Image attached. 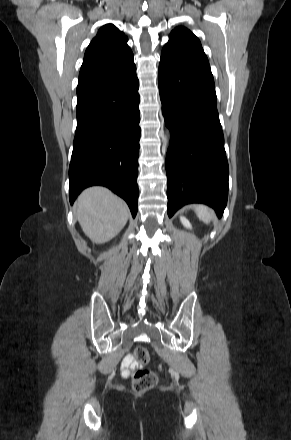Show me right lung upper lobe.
<instances>
[{"label":"right lung upper lobe","instance_id":"1","mask_svg":"<svg viewBox=\"0 0 291 440\" xmlns=\"http://www.w3.org/2000/svg\"><path fill=\"white\" fill-rule=\"evenodd\" d=\"M127 40L113 24L101 27L86 49L79 84L114 78L136 68Z\"/></svg>","mask_w":291,"mask_h":440}]
</instances>
